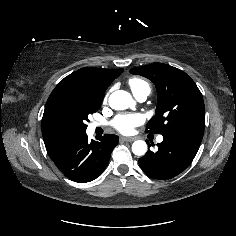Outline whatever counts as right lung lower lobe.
Here are the masks:
<instances>
[{"instance_id": "1", "label": "right lung lower lobe", "mask_w": 236, "mask_h": 236, "mask_svg": "<svg viewBox=\"0 0 236 236\" xmlns=\"http://www.w3.org/2000/svg\"><path fill=\"white\" fill-rule=\"evenodd\" d=\"M88 141L86 133L69 138L48 152L58 169L75 182H89L106 168L119 137L105 134Z\"/></svg>"}]
</instances>
